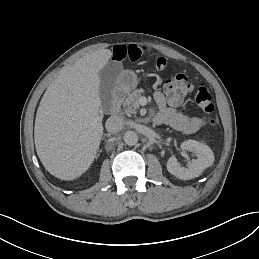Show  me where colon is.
I'll return each instance as SVG.
<instances>
[{"label": "colon", "instance_id": "1", "mask_svg": "<svg viewBox=\"0 0 259 259\" xmlns=\"http://www.w3.org/2000/svg\"><path fill=\"white\" fill-rule=\"evenodd\" d=\"M165 66L166 60L159 58L156 62V67L163 69ZM164 89L172 104H180L186 95L193 93L197 105L205 113L211 114L214 111L213 98L206 85L202 82L192 85L183 73H178L167 80L164 84ZM205 120L210 125L216 124V120L212 117H206Z\"/></svg>", "mask_w": 259, "mask_h": 259}]
</instances>
